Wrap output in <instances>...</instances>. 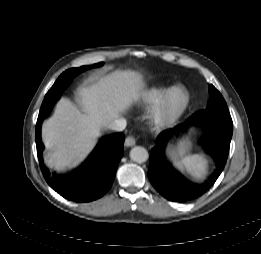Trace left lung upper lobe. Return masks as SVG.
I'll return each mask as SVG.
<instances>
[{
    "label": "left lung upper lobe",
    "mask_w": 261,
    "mask_h": 254,
    "mask_svg": "<svg viewBox=\"0 0 261 254\" xmlns=\"http://www.w3.org/2000/svg\"><path fill=\"white\" fill-rule=\"evenodd\" d=\"M210 100L205 110H201L190 117L191 121H198L205 118L218 120H232L227 104L220 92L213 86H209Z\"/></svg>",
    "instance_id": "5c2ea615"
}]
</instances>
